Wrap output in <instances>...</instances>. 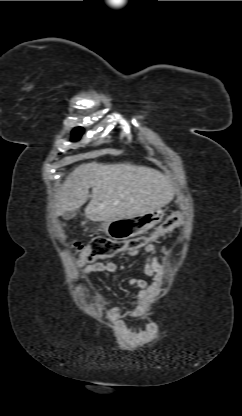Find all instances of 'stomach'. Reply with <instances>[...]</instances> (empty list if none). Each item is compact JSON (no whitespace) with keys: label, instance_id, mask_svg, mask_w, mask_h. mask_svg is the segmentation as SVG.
Returning a JSON list of instances; mask_svg holds the SVG:
<instances>
[{"label":"stomach","instance_id":"stomach-1","mask_svg":"<svg viewBox=\"0 0 242 416\" xmlns=\"http://www.w3.org/2000/svg\"><path fill=\"white\" fill-rule=\"evenodd\" d=\"M164 215V210L155 209L140 215L103 221L99 227L108 237L114 240H126L146 233L160 223Z\"/></svg>","mask_w":242,"mask_h":416}]
</instances>
